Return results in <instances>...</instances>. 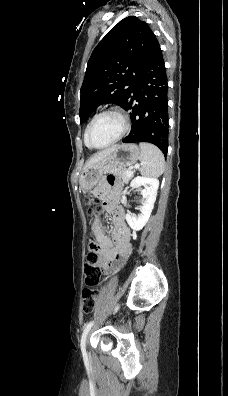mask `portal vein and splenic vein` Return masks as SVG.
Wrapping results in <instances>:
<instances>
[{"label": "portal vein and splenic vein", "mask_w": 228, "mask_h": 396, "mask_svg": "<svg viewBox=\"0 0 228 396\" xmlns=\"http://www.w3.org/2000/svg\"><path fill=\"white\" fill-rule=\"evenodd\" d=\"M132 173H133L132 171H129V172H128L129 175H131Z\"/></svg>", "instance_id": "1"}]
</instances>
